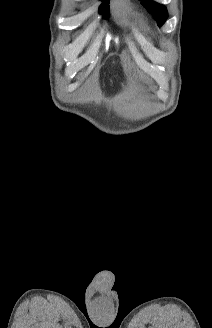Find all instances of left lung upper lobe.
I'll return each mask as SVG.
<instances>
[{
	"label": "left lung upper lobe",
	"mask_w": 212,
	"mask_h": 328,
	"mask_svg": "<svg viewBox=\"0 0 212 328\" xmlns=\"http://www.w3.org/2000/svg\"><path fill=\"white\" fill-rule=\"evenodd\" d=\"M141 4L148 10L157 21L158 26H161L168 17L166 7L153 2L152 0H141Z\"/></svg>",
	"instance_id": "obj_1"
}]
</instances>
